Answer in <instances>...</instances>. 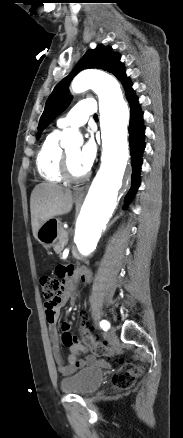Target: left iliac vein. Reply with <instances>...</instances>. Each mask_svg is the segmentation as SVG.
<instances>
[{"label": "left iliac vein", "mask_w": 183, "mask_h": 438, "mask_svg": "<svg viewBox=\"0 0 183 438\" xmlns=\"http://www.w3.org/2000/svg\"><path fill=\"white\" fill-rule=\"evenodd\" d=\"M104 338L111 343L116 341V335H115L114 331L105 332Z\"/></svg>", "instance_id": "obj_1"}]
</instances>
